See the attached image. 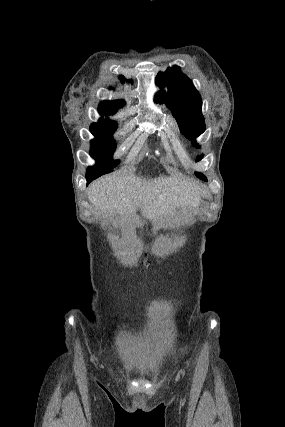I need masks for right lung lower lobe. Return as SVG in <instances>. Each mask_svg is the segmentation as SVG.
Listing matches in <instances>:
<instances>
[{
  "label": "right lung lower lobe",
  "mask_w": 285,
  "mask_h": 427,
  "mask_svg": "<svg viewBox=\"0 0 285 427\" xmlns=\"http://www.w3.org/2000/svg\"><path fill=\"white\" fill-rule=\"evenodd\" d=\"M99 175H86L87 185L94 179L98 178Z\"/></svg>",
  "instance_id": "98d812e1"
}]
</instances>
